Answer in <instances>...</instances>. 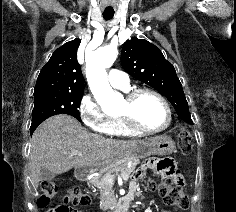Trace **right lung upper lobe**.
<instances>
[{"label":"right lung upper lobe","mask_w":236,"mask_h":212,"mask_svg":"<svg viewBox=\"0 0 236 212\" xmlns=\"http://www.w3.org/2000/svg\"><path fill=\"white\" fill-rule=\"evenodd\" d=\"M80 39L66 42L54 51L38 76L34 96L47 93H83L84 78L77 61Z\"/></svg>","instance_id":"1"}]
</instances>
